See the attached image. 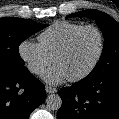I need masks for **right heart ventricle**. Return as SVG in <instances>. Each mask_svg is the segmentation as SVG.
<instances>
[{
	"label": "right heart ventricle",
	"instance_id": "obj_1",
	"mask_svg": "<svg viewBox=\"0 0 119 119\" xmlns=\"http://www.w3.org/2000/svg\"><path fill=\"white\" fill-rule=\"evenodd\" d=\"M82 26V24L70 21L54 22L39 35V44L53 59L57 51L64 45L71 34Z\"/></svg>",
	"mask_w": 119,
	"mask_h": 119
}]
</instances>
